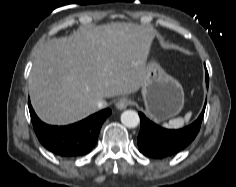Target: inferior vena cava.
I'll return each instance as SVG.
<instances>
[{"instance_id": "obj_1", "label": "inferior vena cava", "mask_w": 236, "mask_h": 187, "mask_svg": "<svg viewBox=\"0 0 236 187\" xmlns=\"http://www.w3.org/2000/svg\"><path fill=\"white\" fill-rule=\"evenodd\" d=\"M107 105H108V103L104 99H101V100L97 101V103H96L97 109L106 108Z\"/></svg>"}]
</instances>
